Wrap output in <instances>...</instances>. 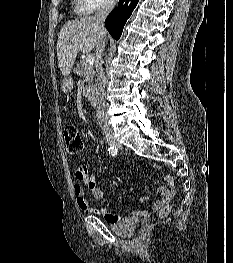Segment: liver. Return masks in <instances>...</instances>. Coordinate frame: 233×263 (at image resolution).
<instances>
[{
	"mask_svg": "<svg viewBox=\"0 0 233 263\" xmlns=\"http://www.w3.org/2000/svg\"><path fill=\"white\" fill-rule=\"evenodd\" d=\"M99 41V30L92 17L68 21L60 30L57 41L58 65L68 76L79 51L91 52Z\"/></svg>",
	"mask_w": 233,
	"mask_h": 263,
	"instance_id": "obj_1",
	"label": "liver"
}]
</instances>
